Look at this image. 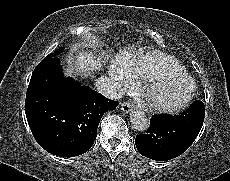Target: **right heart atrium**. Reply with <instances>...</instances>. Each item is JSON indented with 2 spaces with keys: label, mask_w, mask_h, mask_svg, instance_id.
I'll list each match as a JSON object with an SVG mask.
<instances>
[{
  "label": "right heart atrium",
  "mask_w": 230,
  "mask_h": 181,
  "mask_svg": "<svg viewBox=\"0 0 230 181\" xmlns=\"http://www.w3.org/2000/svg\"><path fill=\"white\" fill-rule=\"evenodd\" d=\"M109 72L114 82V87L117 90L127 86L129 84V80H135L134 77H128L124 71L116 69L115 67H111Z\"/></svg>",
  "instance_id": "right-heart-atrium-1"
}]
</instances>
